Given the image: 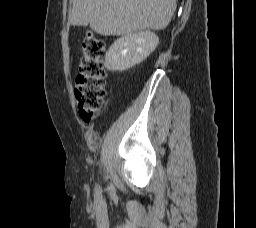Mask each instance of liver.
<instances>
[{
  "label": "liver",
  "mask_w": 256,
  "mask_h": 228,
  "mask_svg": "<svg viewBox=\"0 0 256 228\" xmlns=\"http://www.w3.org/2000/svg\"><path fill=\"white\" fill-rule=\"evenodd\" d=\"M68 21L90 26L103 36L128 35L145 29L162 30L171 21L176 0H71Z\"/></svg>",
  "instance_id": "liver-1"
}]
</instances>
